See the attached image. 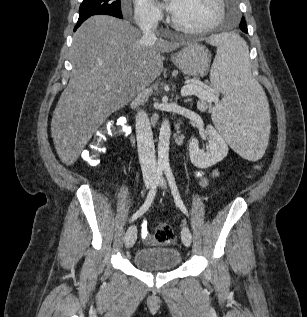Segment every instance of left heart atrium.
Masks as SVG:
<instances>
[{
  "label": "left heart atrium",
  "instance_id": "1",
  "mask_svg": "<svg viewBox=\"0 0 307 317\" xmlns=\"http://www.w3.org/2000/svg\"><path fill=\"white\" fill-rule=\"evenodd\" d=\"M175 1L176 0H167V4H166V6H167V8L170 10V11H174V9H175Z\"/></svg>",
  "mask_w": 307,
  "mask_h": 317
}]
</instances>
